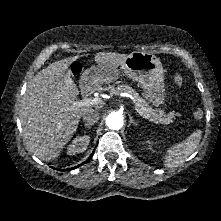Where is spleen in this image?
Returning a JSON list of instances; mask_svg holds the SVG:
<instances>
[{
	"label": "spleen",
	"mask_w": 221,
	"mask_h": 221,
	"mask_svg": "<svg viewBox=\"0 0 221 221\" xmlns=\"http://www.w3.org/2000/svg\"><path fill=\"white\" fill-rule=\"evenodd\" d=\"M201 133V130H196L187 139L169 148L165 155L164 166L173 168L183 163L199 145Z\"/></svg>",
	"instance_id": "3e777b00"
}]
</instances>
